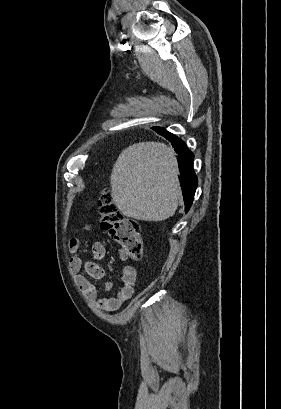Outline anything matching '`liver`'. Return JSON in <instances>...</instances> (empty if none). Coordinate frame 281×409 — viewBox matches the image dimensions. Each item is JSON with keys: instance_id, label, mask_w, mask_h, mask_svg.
<instances>
[{"instance_id": "6515ba94", "label": "liver", "mask_w": 281, "mask_h": 409, "mask_svg": "<svg viewBox=\"0 0 281 409\" xmlns=\"http://www.w3.org/2000/svg\"><path fill=\"white\" fill-rule=\"evenodd\" d=\"M174 150L163 142H136L119 154L111 174L112 196L125 217L165 221L182 196Z\"/></svg>"}]
</instances>
